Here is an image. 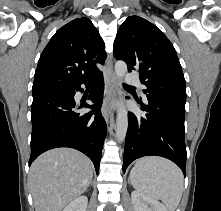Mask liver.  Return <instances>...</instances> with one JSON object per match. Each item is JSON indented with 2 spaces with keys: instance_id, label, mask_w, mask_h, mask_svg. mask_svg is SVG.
Wrapping results in <instances>:
<instances>
[{
  "instance_id": "obj_1",
  "label": "liver",
  "mask_w": 221,
  "mask_h": 211,
  "mask_svg": "<svg viewBox=\"0 0 221 211\" xmlns=\"http://www.w3.org/2000/svg\"><path fill=\"white\" fill-rule=\"evenodd\" d=\"M92 177L90 159L77 150L56 148L43 153L29 174L35 211H62L86 191Z\"/></svg>"
}]
</instances>
